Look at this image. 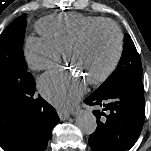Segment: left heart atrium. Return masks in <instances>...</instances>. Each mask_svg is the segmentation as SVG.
Here are the masks:
<instances>
[{
  "label": "left heart atrium",
  "mask_w": 151,
  "mask_h": 151,
  "mask_svg": "<svg viewBox=\"0 0 151 151\" xmlns=\"http://www.w3.org/2000/svg\"><path fill=\"white\" fill-rule=\"evenodd\" d=\"M87 80L72 69H53L39 79L41 94L55 107L67 110L83 95Z\"/></svg>",
  "instance_id": "left-heart-atrium-1"
}]
</instances>
